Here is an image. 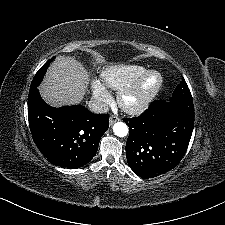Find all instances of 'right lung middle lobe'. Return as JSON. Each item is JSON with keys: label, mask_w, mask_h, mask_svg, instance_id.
I'll return each mask as SVG.
<instances>
[{"label": "right lung middle lobe", "mask_w": 225, "mask_h": 225, "mask_svg": "<svg viewBox=\"0 0 225 225\" xmlns=\"http://www.w3.org/2000/svg\"><path fill=\"white\" fill-rule=\"evenodd\" d=\"M55 57H53L52 59L48 60L40 69L39 71L35 74L30 89L33 88H37L38 85L41 83L43 76L48 68V66L50 65L51 61L54 59Z\"/></svg>", "instance_id": "right-lung-middle-lobe-1"}]
</instances>
